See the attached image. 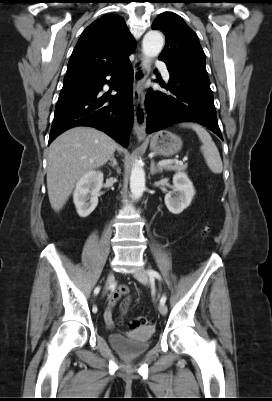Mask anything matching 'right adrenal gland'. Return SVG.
Returning <instances> with one entry per match:
<instances>
[{
  "label": "right adrenal gland",
  "mask_w": 272,
  "mask_h": 401,
  "mask_svg": "<svg viewBox=\"0 0 272 401\" xmlns=\"http://www.w3.org/2000/svg\"><path fill=\"white\" fill-rule=\"evenodd\" d=\"M108 165L111 166L112 168L116 167V169L118 170V163H117V160L114 155L111 156L110 162L108 163Z\"/></svg>",
  "instance_id": "2a0ac1e0"
}]
</instances>
